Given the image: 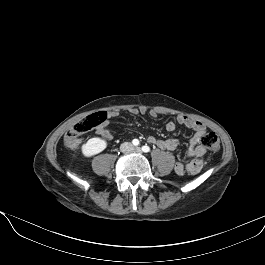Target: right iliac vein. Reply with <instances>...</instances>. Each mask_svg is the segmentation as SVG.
I'll return each mask as SVG.
<instances>
[{
    "instance_id": "1",
    "label": "right iliac vein",
    "mask_w": 265,
    "mask_h": 265,
    "mask_svg": "<svg viewBox=\"0 0 265 265\" xmlns=\"http://www.w3.org/2000/svg\"><path fill=\"white\" fill-rule=\"evenodd\" d=\"M130 145L129 144H126V145H124V150H126V151H129L130 150Z\"/></svg>"
}]
</instances>
